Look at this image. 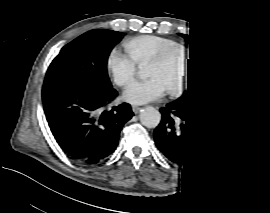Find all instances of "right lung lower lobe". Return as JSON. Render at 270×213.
I'll return each instance as SVG.
<instances>
[{"label": "right lung lower lobe", "mask_w": 270, "mask_h": 213, "mask_svg": "<svg viewBox=\"0 0 270 213\" xmlns=\"http://www.w3.org/2000/svg\"><path fill=\"white\" fill-rule=\"evenodd\" d=\"M116 97L117 91L112 87L82 79L44 81L46 119L69 158L94 165L114 152L123 125L134 115L127 103L110 107Z\"/></svg>", "instance_id": "98d812e1"}]
</instances>
